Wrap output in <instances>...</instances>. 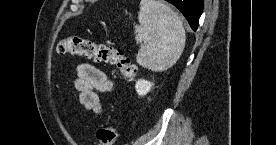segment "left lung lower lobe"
Instances as JSON below:
<instances>
[{
    "label": "left lung lower lobe",
    "instance_id": "obj_1",
    "mask_svg": "<svg viewBox=\"0 0 276 145\" xmlns=\"http://www.w3.org/2000/svg\"><path fill=\"white\" fill-rule=\"evenodd\" d=\"M175 5L188 20L191 28L196 31L203 9V0H166Z\"/></svg>",
    "mask_w": 276,
    "mask_h": 145
}]
</instances>
